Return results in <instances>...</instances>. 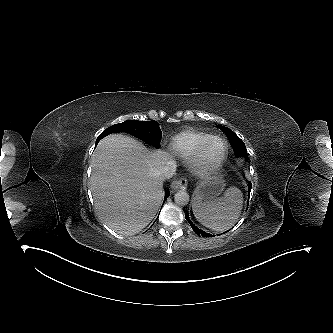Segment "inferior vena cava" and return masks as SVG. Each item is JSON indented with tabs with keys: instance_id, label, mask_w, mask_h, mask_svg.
Instances as JSON below:
<instances>
[{
	"instance_id": "obj_1",
	"label": "inferior vena cava",
	"mask_w": 333,
	"mask_h": 333,
	"mask_svg": "<svg viewBox=\"0 0 333 333\" xmlns=\"http://www.w3.org/2000/svg\"><path fill=\"white\" fill-rule=\"evenodd\" d=\"M176 162L174 160H168L164 166L159 169V174L162 179H170L176 171Z\"/></svg>"
}]
</instances>
